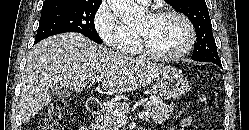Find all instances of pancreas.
I'll use <instances>...</instances> for the list:
<instances>
[{
  "instance_id": "1",
  "label": "pancreas",
  "mask_w": 249,
  "mask_h": 130,
  "mask_svg": "<svg viewBox=\"0 0 249 130\" xmlns=\"http://www.w3.org/2000/svg\"><path fill=\"white\" fill-rule=\"evenodd\" d=\"M154 101H148L143 104L146 111L149 112L150 117L158 124H161L169 119V113L172 112L173 106L167 105L159 96H153ZM120 110L122 112L128 113L130 110L129 103H119L110 107H105L102 110L103 116L98 119L99 125H97L99 130H119L122 123L114 115V110Z\"/></svg>"
}]
</instances>
